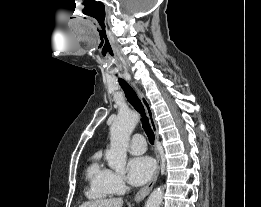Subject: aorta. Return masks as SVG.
I'll return each instance as SVG.
<instances>
[{
    "mask_svg": "<svg viewBox=\"0 0 261 207\" xmlns=\"http://www.w3.org/2000/svg\"><path fill=\"white\" fill-rule=\"evenodd\" d=\"M138 122V115L132 111L119 113L110 127V149L106 151V160L110 168L124 172L127 148L130 136ZM164 188L158 187L150 194L144 207H160Z\"/></svg>",
    "mask_w": 261,
    "mask_h": 207,
    "instance_id": "762f6f07",
    "label": "aorta"
}]
</instances>
